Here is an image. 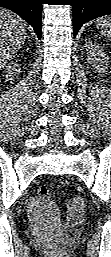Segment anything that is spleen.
Segmentation results:
<instances>
[{
  "mask_svg": "<svg viewBox=\"0 0 111 257\" xmlns=\"http://www.w3.org/2000/svg\"><path fill=\"white\" fill-rule=\"evenodd\" d=\"M97 28L108 40H111V16H105L96 21Z\"/></svg>",
  "mask_w": 111,
  "mask_h": 257,
  "instance_id": "spleen-1",
  "label": "spleen"
}]
</instances>
